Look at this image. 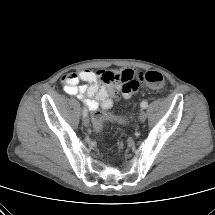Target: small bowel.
Returning a JSON list of instances; mask_svg holds the SVG:
<instances>
[{"label":"small bowel","instance_id":"small-bowel-1","mask_svg":"<svg viewBox=\"0 0 215 215\" xmlns=\"http://www.w3.org/2000/svg\"><path fill=\"white\" fill-rule=\"evenodd\" d=\"M136 71L122 68L112 71L82 70L62 77L64 90L76 96L92 112L108 110L115 100L129 99L137 91ZM86 84H80V82Z\"/></svg>","mask_w":215,"mask_h":215}]
</instances>
